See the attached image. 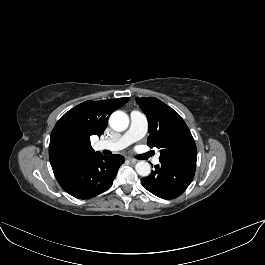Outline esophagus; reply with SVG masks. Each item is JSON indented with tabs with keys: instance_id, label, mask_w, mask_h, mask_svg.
Returning a JSON list of instances; mask_svg holds the SVG:
<instances>
[{
	"instance_id": "esophagus-1",
	"label": "esophagus",
	"mask_w": 265,
	"mask_h": 265,
	"mask_svg": "<svg viewBox=\"0 0 265 265\" xmlns=\"http://www.w3.org/2000/svg\"><path fill=\"white\" fill-rule=\"evenodd\" d=\"M128 159H129V161H130L131 163H136V162H138L137 159H134V158H131V157H129Z\"/></svg>"
}]
</instances>
